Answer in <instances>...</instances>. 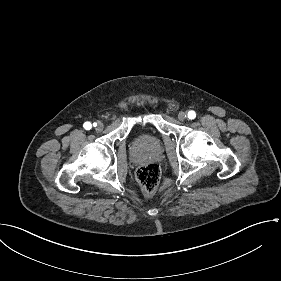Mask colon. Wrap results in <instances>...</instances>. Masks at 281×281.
<instances>
[{
	"label": "colon",
	"mask_w": 281,
	"mask_h": 281,
	"mask_svg": "<svg viewBox=\"0 0 281 281\" xmlns=\"http://www.w3.org/2000/svg\"><path fill=\"white\" fill-rule=\"evenodd\" d=\"M160 174L159 166L149 163L139 167L136 177L144 192L152 193L158 186Z\"/></svg>",
	"instance_id": "1"
}]
</instances>
